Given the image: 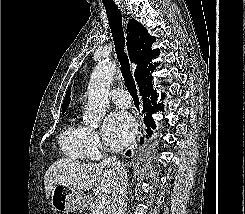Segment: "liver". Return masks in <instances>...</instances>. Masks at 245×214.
Masks as SVG:
<instances>
[{"label":"liver","instance_id":"liver-1","mask_svg":"<svg viewBox=\"0 0 245 214\" xmlns=\"http://www.w3.org/2000/svg\"><path fill=\"white\" fill-rule=\"evenodd\" d=\"M104 166L96 163H81L72 159L61 158L46 171L44 185L47 199H50L56 185L95 193H112L117 181V174L112 169L103 170Z\"/></svg>","mask_w":245,"mask_h":214}]
</instances>
